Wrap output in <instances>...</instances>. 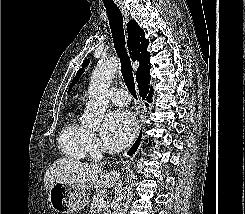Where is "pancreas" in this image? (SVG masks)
I'll list each match as a JSON object with an SVG mask.
<instances>
[{
    "mask_svg": "<svg viewBox=\"0 0 245 214\" xmlns=\"http://www.w3.org/2000/svg\"><path fill=\"white\" fill-rule=\"evenodd\" d=\"M100 197H103V194L96 193L92 197V200H91L90 205H89V209H90L91 213H95L96 212V209H97V207L99 205V198ZM103 214H110L109 205H105Z\"/></svg>",
    "mask_w": 245,
    "mask_h": 214,
    "instance_id": "1",
    "label": "pancreas"
}]
</instances>
